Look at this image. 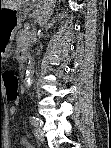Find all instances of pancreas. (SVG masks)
I'll list each match as a JSON object with an SVG mask.
<instances>
[{
	"label": "pancreas",
	"mask_w": 111,
	"mask_h": 148,
	"mask_svg": "<svg viewBox=\"0 0 111 148\" xmlns=\"http://www.w3.org/2000/svg\"><path fill=\"white\" fill-rule=\"evenodd\" d=\"M29 36V31L27 30H22L18 32L17 38L20 41V44H25L30 42Z\"/></svg>",
	"instance_id": "obj_1"
}]
</instances>
